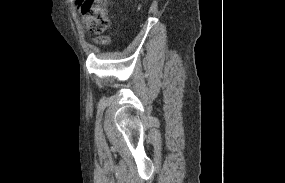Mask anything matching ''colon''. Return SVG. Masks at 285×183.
I'll use <instances>...</instances> for the list:
<instances>
[{"label":"colon","mask_w":285,"mask_h":183,"mask_svg":"<svg viewBox=\"0 0 285 183\" xmlns=\"http://www.w3.org/2000/svg\"><path fill=\"white\" fill-rule=\"evenodd\" d=\"M79 2L81 14L89 31L101 33L109 28V0H81ZM107 42V38L100 39L102 44Z\"/></svg>","instance_id":"obj_1"}]
</instances>
